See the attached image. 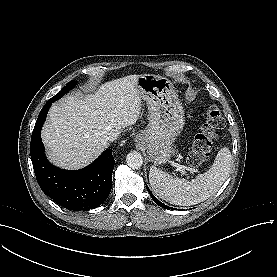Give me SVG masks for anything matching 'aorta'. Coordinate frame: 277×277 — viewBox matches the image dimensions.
Instances as JSON below:
<instances>
[{
    "mask_svg": "<svg viewBox=\"0 0 277 277\" xmlns=\"http://www.w3.org/2000/svg\"><path fill=\"white\" fill-rule=\"evenodd\" d=\"M126 164L132 169H140L143 164V157L137 151H131L126 156Z\"/></svg>",
    "mask_w": 277,
    "mask_h": 277,
    "instance_id": "762f6f07",
    "label": "aorta"
}]
</instances>
